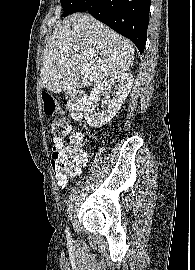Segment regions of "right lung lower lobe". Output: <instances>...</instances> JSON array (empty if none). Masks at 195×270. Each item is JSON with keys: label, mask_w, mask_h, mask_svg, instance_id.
Instances as JSON below:
<instances>
[{"label": "right lung lower lobe", "mask_w": 195, "mask_h": 270, "mask_svg": "<svg viewBox=\"0 0 195 270\" xmlns=\"http://www.w3.org/2000/svg\"><path fill=\"white\" fill-rule=\"evenodd\" d=\"M151 0H80L75 12H88L133 41L143 53Z\"/></svg>", "instance_id": "98d812e1"}]
</instances>
